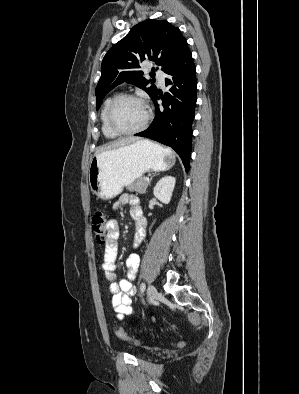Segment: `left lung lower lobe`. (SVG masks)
<instances>
[{
	"mask_svg": "<svg viewBox=\"0 0 299 394\" xmlns=\"http://www.w3.org/2000/svg\"><path fill=\"white\" fill-rule=\"evenodd\" d=\"M164 72L169 75L165 79L169 91L165 95L157 91L152 99L156 109L155 118L148 129L135 135L172 147L188 171L197 99L196 69L188 45ZM159 99L163 101L162 106L157 103Z\"/></svg>",
	"mask_w": 299,
	"mask_h": 394,
	"instance_id": "obj_1",
	"label": "left lung lower lobe"
}]
</instances>
